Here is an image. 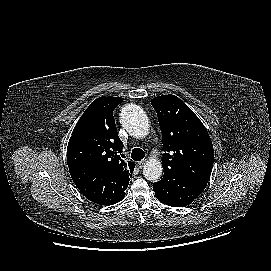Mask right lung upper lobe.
Returning <instances> with one entry per match:
<instances>
[{
    "label": "right lung upper lobe",
    "mask_w": 271,
    "mask_h": 271,
    "mask_svg": "<svg viewBox=\"0 0 271 271\" xmlns=\"http://www.w3.org/2000/svg\"><path fill=\"white\" fill-rule=\"evenodd\" d=\"M120 97H99L84 111L67 146L68 167L84 165L112 172L129 181L134 163L122 160L123 143L119 139L113 111Z\"/></svg>",
    "instance_id": "right-lung-upper-lobe-1"
}]
</instances>
